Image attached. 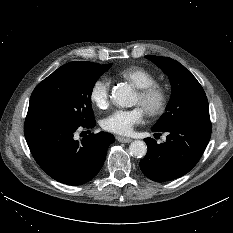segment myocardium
I'll return each instance as SVG.
<instances>
[{
  "instance_id": "1",
  "label": "myocardium",
  "mask_w": 233,
  "mask_h": 233,
  "mask_svg": "<svg viewBox=\"0 0 233 233\" xmlns=\"http://www.w3.org/2000/svg\"><path fill=\"white\" fill-rule=\"evenodd\" d=\"M137 94L143 102L152 103L150 107L145 109V113L149 117H159L166 111L169 95L164 86L154 83L139 88Z\"/></svg>"
}]
</instances>
